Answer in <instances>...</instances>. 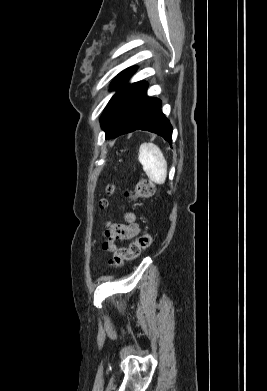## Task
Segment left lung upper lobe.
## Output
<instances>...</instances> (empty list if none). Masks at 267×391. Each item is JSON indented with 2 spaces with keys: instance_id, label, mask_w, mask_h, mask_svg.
<instances>
[{
  "instance_id": "1",
  "label": "left lung upper lobe",
  "mask_w": 267,
  "mask_h": 391,
  "mask_svg": "<svg viewBox=\"0 0 267 391\" xmlns=\"http://www.w3.org/2000/svg\"><path fill=\"white\" fill-rule=\"evenodd\" d=\"M135 70L136 67H131L124 70L113 81L111 88L117 89V92L111 98L101 116V126L104 130H106V128L108 127L119 104L140 83L137 82L133 84H125V82L133 75Z\"/></svg>"
}]
</instances>
